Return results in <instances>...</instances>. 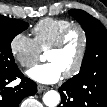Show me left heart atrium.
<instances>
[{
  "mask_svg": "<svg viewBox=\"0 0 107 107\" xmlns=\"http://www.w3.org/2000/svg\"><path fill=\"white\" fill-rule=\"evenodd\" d=\"M63 74L61 67L53 61L36 65L27 72L29 78L41 84H54L62 78Z\"/></svg>",
  "mask_w": 107,
  "mask_h": 107,
  "instance_id": "39dd6f15",
  "label": "left heart atrium"
}]
</instances>
